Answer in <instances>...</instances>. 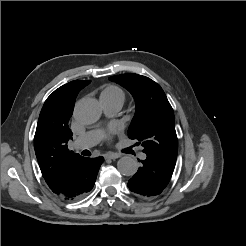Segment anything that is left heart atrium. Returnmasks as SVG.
<instances>
[{
    "label": "left heart atrium",
    "mask_w": 246,
    "mask_h": 246,
    "mask_svg": "<svg viewBox=\"0 0 246 246\" xmlns=\"http://www.w3.org/2000/svg\"><path fill=\"white\" fill-rule=\"evenodd\" d=\"M113 133H114V130H112L110 133H108V134L106 135V137H107V138L110 137L111 134H113Z\"/></svg>",
    "instance_id": "1"
}]
</instances>
